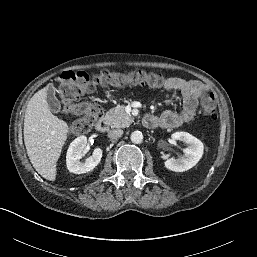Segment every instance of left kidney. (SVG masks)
<instances>
[{"label": "left kidney", "instance_id": "1", "mask_svg": "<svg viewBox=\"0 0 257 257\" xmlns=\"http://www.w3.org/2000/svg\"><path fill=\"white\" fill-rule=\"evenodd\" d=\"M172 138L186 143L188 147L184 149V155L181 158L166 159L165 167L174 172H184L194 167L203 156V143L187 132H175Z\"/></svg>", "mask_w": 257, "mask_h": 257}]
</instances>
